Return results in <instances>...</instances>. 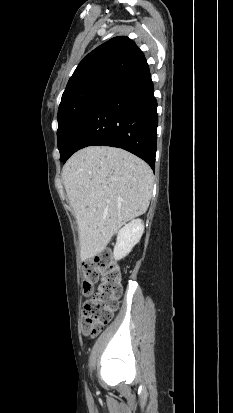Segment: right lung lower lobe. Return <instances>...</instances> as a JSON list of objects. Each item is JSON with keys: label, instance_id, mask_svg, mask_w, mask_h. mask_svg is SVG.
Segmentation results:
<instances>
[{"label": "right lung lower lobe", "instance_id": "1", "mask_svg": "<svg viewBox=\"0 0 233 413\" xmlns=\"http://www.w3.org/2000/svg\"><path fill=\"white\" fill-rule=\"evenodd\" d=\"M157 102L146 59L116 78L78 132L65 163L91 145L125 149L155 168Z\"/></svg>", "mask_w": 233, "mask_h": 413}]
</instances>
